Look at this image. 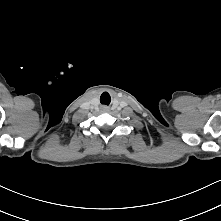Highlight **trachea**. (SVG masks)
Returning <instances> with one entry per match:
<instances>
[{
	"instance_id": "trachea-1",
	"label": "trachea",
	"mask_w": 221,
	"mask_h": 221,
	"mask_svg": "<svg viewBox=\"0 0 221 221\" xmlns=\"http://www.w3.org/2000/svg\"><path fill=\"white\" fill-rule=\"evenodd\" d=\"M110 101H111L110 96L107 93H103L101 98H100L101 104L109 105Z\"/></svg>"
}]
</instances>
